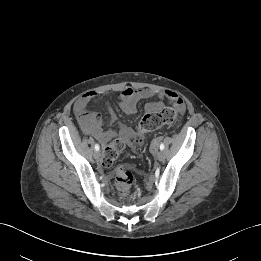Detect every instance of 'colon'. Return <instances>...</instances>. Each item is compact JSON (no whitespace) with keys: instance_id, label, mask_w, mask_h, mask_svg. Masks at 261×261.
<instances>
[{"instance_id":"5ec220e1","label":"colon","mask_w":261,"mask_h":261,"mask_svg":"<svg viewBox=\"0 0 261 261\" xmlns=\"http://www.w3.org/2000/svg\"><path fill=\"white\" fill-rule=\"evenodd\" d=\"M181 119V112L172 108L146 112L139 123L137 131L130 136L129 142L134 145H141L144 142L146 133L167 125L178 126ZM127 142L126 138L120 137L105 148L101 162L103 169L107 170L112 167L118 155L125 149ZM133 183L134 177L131 171L125 166L118 167L115 173V187L117 191L121 195H127Z\"/></svg>"}]
</instances>
